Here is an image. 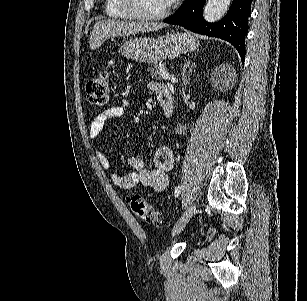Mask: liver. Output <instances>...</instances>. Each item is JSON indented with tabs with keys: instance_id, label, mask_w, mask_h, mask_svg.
Listing matches in <instances>:
<instances>
[{
	"instance_id": "liver-1",
	"label": "liver",
	"mask_w": 307,
	"mask_h": 301,
	"mask_svg": "<svg viewBox=\"0 0 307 301\" xmlns=\"http://www.w3.org/2000/svg\"><path fill=\"white\" fill-rule=\"evenodd\" d=\"M167 24L163 22H148V20H116V18H107V20H98L93 26L89 44L92 50L99 48L110 36H130V34H139V32H154L160 30Z\"/></svg>"
}]
</instances>
